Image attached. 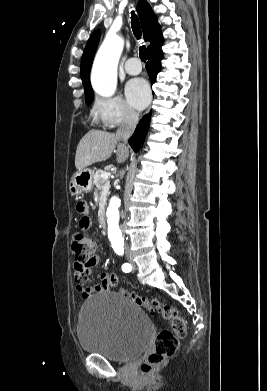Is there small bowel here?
<instances>
[{"mask_svg": "<svg viewBox=\"0 0 267 391\" xmlns=\"http://www.w3.org/2000/svg\"><path fill=\"white\" fill-rule=\"evenodd\" d=\"M76 210L81 214L79 226L82 230H87L91 227L92 221L89 216V208L86 202L80 201L76 205ZM97 258L94 265L81 266L75 264L74 266V279L76 282V290L80 293L83 298H89L92 294L102 292L106 290L110 285L108 284V274L104 273L101 275L100 283L94 286H88V277L92 273L93 268L97 264Z\"/></svg>", "mask_w": 267, "mask_h": 391, "instance_id": "small-bowel-1", "label": "small bowel"}]
</instances>
